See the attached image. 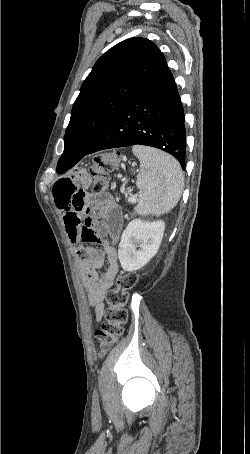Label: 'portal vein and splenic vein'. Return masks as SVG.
I'll return each mask as SVG.
<instances>
[{
    "label": "portal vein and splenic vein",
    "instance_id": "1",
    "mask_svg": "<svg viewBox=\"0 0 250 454\" xmlns=\"http://www.w3.org/2000/svg\"><path fill=\"white\" fill-rule=\"evenodd\" d=\"M128 201L131 202V203H135L136 202V197L131 196L130 198H128Z\"/></svg>",
    "mask_w": 250,
    "mask_h": 454
}]
</instances>
